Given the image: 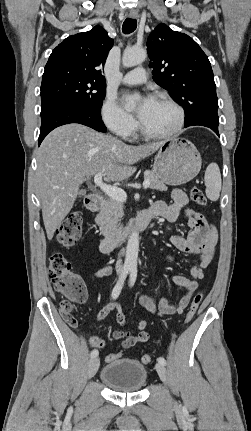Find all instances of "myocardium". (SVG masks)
Instances as JSON below:
<instances>
[{"instance_id":"1","label":"myocardium","mask_w":251,"mask_h":431,"mask_svg":"<svg viewBox=\"0 0 251 431\" xmlns=\"http://www.w3.org/2000/svg\"><path fill=\"white\" fill-rule=\"evenodd\" d=\"M155 100L163 101V102L171 105L176 110L177 120H176L175 125L167 132L154 133V132L148 131L143 126L141 121L139 120V122H138L139 131L144 137L149 138V139L161 140V139L171 138V137L175 136L176 134H178L180 132V130L182 129L184 122H185V111H184L183 107L176 100H174L172 97H170L166 94H158L155 97Z\"/></svg>"}]
</instances>
